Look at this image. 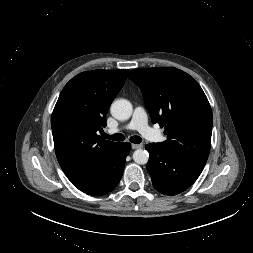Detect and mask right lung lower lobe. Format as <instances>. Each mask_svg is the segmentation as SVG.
<instances>
[{"instance_id":"obj_1","label":"right lung lower lobe","mask_w":253,"mask_h":253,"mask_svg":"<svg viewBox=\"0 0 253 253\" xmlns=\"http://www.w3.org/2000/svg\"><path fill=\"white\" fill-rule=\"evenodd\" d=\"M130 149V143H117L110 150L92 179L77 188L92 196H101L111 192L122 177L125 160Z\"/></svg>"}]
</instances>
